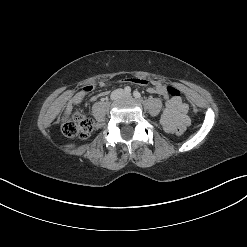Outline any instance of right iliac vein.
<instances>
[{"label": "right iliac vein", "mask_w": 247, "mask_h": 247, "mask_svg": "<svg viewBox=\"0 0 247 247\" xmlns=\"http://www.w3.org/2000/svg\"><path fill=\"white\" fill-rule=\"evenodd\" d=\"M119 97V94H115L114 96H113V98L115 99V98H118Z\"/></svg>", "instance_id": "obj_1"}]
</instances>
